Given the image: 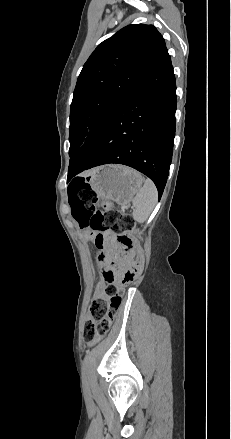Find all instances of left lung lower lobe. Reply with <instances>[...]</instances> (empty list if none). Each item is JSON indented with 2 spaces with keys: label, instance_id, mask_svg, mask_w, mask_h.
Masks as SVG:
<instances>
[{
  "label": "left lung lower lobe",
  "instance_id": "obj_1",
  "mask_svg": "<svg viewBox=\"0 0 231 439\" xmlns=\"http://www.w3.org/2000/svg\"><path fill=\"white\" fill-rule=\"evenodd\" d=\"M176 107L175 75L168 55L84 141L70 159L68 179L98 165L123 164L148 176L160 199L172 160Z\"/></svg>",
  "mask_w": 231,
  "mask_h": 439
}]
</instances>
